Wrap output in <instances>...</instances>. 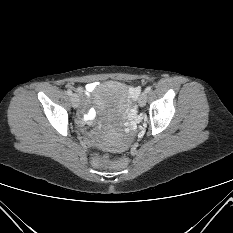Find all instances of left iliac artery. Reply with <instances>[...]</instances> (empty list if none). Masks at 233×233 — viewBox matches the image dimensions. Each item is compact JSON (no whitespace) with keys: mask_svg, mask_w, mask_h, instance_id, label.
<instances>
[{"mask_svg":"<svg viewBox=\"0 0 233 233\" xmlns=\"http://www.w3.org/2000/svg\"><path fill=\"white\" fill-rule=\"evenodd\" d=\"M150 91H151V87L150 86L146 87L145 92L149 93Z\"/></svg>","mask_w":233,"mask_h":233,"instance_id":"44dca946","label":"left iliac artery"}]
</instances>
